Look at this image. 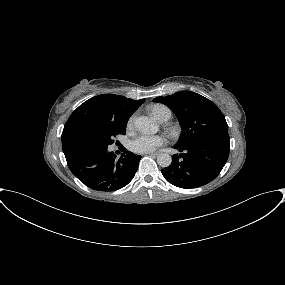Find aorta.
I'll use <instances>...</instances> for the list:
<instances>
[{
  "instance_id": "762f6f07",
  "label": "aorta",
  "mask_w": 285,
  "mask_h": 285,
  "mask_svg": "<svg viewBox=\"0 0 285 285\" xmlns=\"http://www.w3.org/2000/svg\"><path fill=\"white\" fill-rule=\"evenodd\" d=\"M136 128L143 133H156L158 125L146 116H140L135 120ZM157 163L161 167H168L172 163V157L168 153H161L157 157Z\"/></svg>"
}]
</instances>
